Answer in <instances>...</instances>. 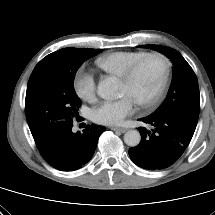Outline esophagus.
I'll return each mask as SVG.
<instances>
[{"label":"esophagus","mask_w":215,"mask_h":215,"mask_svg":"<svg viewBox=\"0 0 215 215\" xmlns=\"http://www.w3.org/2000/svg\"><path fill=\"white\" fill-rule=\"evenodd\" d=\"M112 130L119 131L121 133H125L127 131L126 128L112 127Z\"/></svg>","instance_id":"1"}]
</instances>
